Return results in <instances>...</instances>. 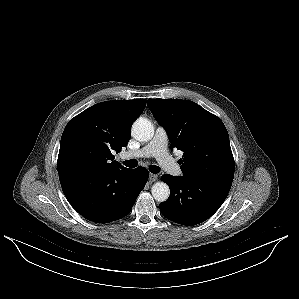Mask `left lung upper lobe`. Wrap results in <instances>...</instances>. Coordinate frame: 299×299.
Listing matches in <instances>:
<instances>
[{"instance_id":"1","label":"left lung upper lobe","mask_w":299,"mask_h":299,"mask_svg":"<svg viewBox=\"0 0 299 299\" xmlns=\"http://www.w3.org/2000/svg\"><path fill=\"white\" fill-rule=\"evenodd\" d=\"M147 105L171 141L183 151V176H210L233 180L234 158L228 132L214 114L189 100L148 99Z\"/></svg>"}]
</instances>
